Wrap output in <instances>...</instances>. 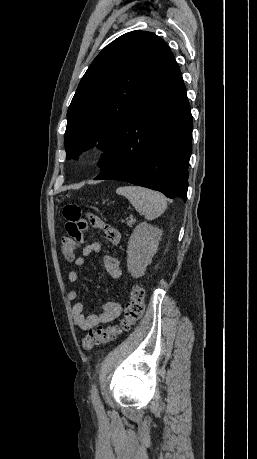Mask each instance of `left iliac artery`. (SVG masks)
I'll return each instance as SVG.
<instances>
[{
	"label": "left iliac artery",
	"mask_w": 257,
	"mask_h": 459,
	"mask_svg": "<svg viewBox=\"0 0 257 459\" xmlns=\"http://www.w3.org/2000/svg\"><path fill=\"white\" fill-rule=\"evenodd\" d=\"M91 396H92V401H93L95 410L99 413L102 412L103 406H102V403H101V400L98 394V389H97L96 384L92 385Z\"/></svg>",
	"instance_id": "1"
}]
</instances>
